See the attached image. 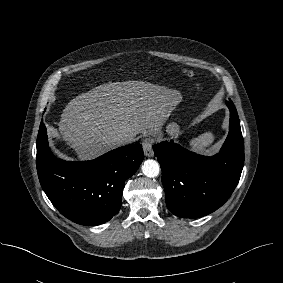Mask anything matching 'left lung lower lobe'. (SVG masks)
<instances>
[{"instance_id":"0a47b994","label":"left lung lower lobe","mask_w":283,"mask_h":283,"mask_svg":"<svg viewBox=\"0 0 283 283\" xmlns=\"http://www.w3.org/2000/svg\"><path fill=\"white\" fill-rule=\"evenodd\" d=\"M226 105L230 110L229 134L217 155L202 156L173 141L153 145L162 170L166 205L178 217L198 218L214 212L239 182L244 142L232 100Z\"/></svg>"}]
</instances>
